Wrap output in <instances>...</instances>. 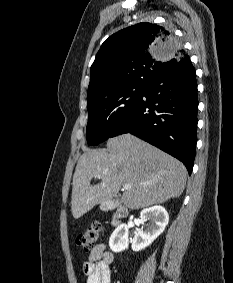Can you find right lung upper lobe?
Wrapping results in <instances>:
<instances>
[{"instance_id":"cb5924a9","label":"right lung upper lobe","mask_w":233,"mask_h":283,"mask_svg":"<svg viewBox=\"0 0 233 283\" xmlns=\"http://www.w3.org/2000/svg\"><path fill=\"white\" fill-rule=\"evenodd\" d=\"M186 55L162 26L144 22L118 31L103 42L91 66L88 106L129 86L147 87Z\"/></svg>"}]
</instances>
